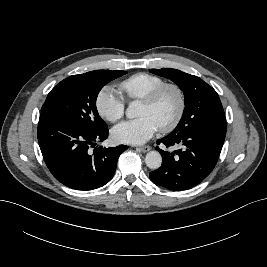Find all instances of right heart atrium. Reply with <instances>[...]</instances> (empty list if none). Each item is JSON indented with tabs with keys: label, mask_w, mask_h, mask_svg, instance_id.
Wrapping results in <instances>:
<instances>
[{
	"label": "right heart atrium",
	"mask_w": 267,
	"mask_h": 267,
	"mask_svg": "<svg viewBox=\"0 0 267 267\" xmlns=\"http://www.w3.org/2000/svg\"><path fill=\"white\" fill-rule=\"evenodd\" d=\"M95 105L99 115L112 123L120 120L125 113L124 98L110 86H106L98 92Z\"/></svg>",
	"instance_id": "d8ad5b80"
}]
</instances>
